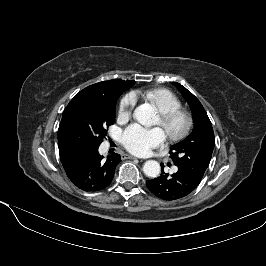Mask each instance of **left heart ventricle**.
<instances>
[{"instance_id":"obj_1","label":"left heart ventricle","mask_w":266,"mask_h":266,"mask_svg":"<svg viewBox=\"0 0 266 266\" xmlns=\"http://www.w3.org/2000/svg\"><path fill=\"white\" fill-rule=\"evenodd\" d=\"M156 124L161 126L163 128V130L166 132V131H175L177 130L180 126H181V122L180 121H177L175 123H173L172 125L168 126V127H165L160 118H158V120L156 121Z\"/></svg>"}]
</instances>
